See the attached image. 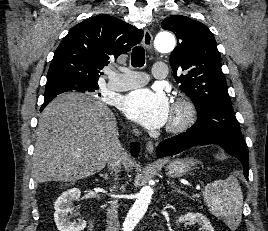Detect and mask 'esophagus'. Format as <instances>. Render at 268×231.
Segmentation results:
<instances>
[{"instance_id": "esophagus-1", "label": "esophagus", "mask_w": 268, "mask_h": 231, "mask_svg": "<svg viewBox=\"0 0 268 231\" xmlns=\"http://www.w3.org/2000/svg\"><path fill=\"white\" fill-rule=\"evenodd\" d=\"M152 42H153V37L150 33L149 30L145 29L144 30V35L142 39V44L145 48L151 49L152 48ZM145 150L147 153L151 154L154 152V145L151 141H148L145 145Z\"/></svg>"}]
</instances>
